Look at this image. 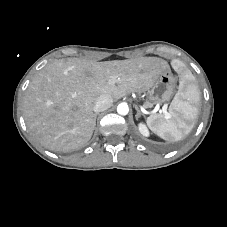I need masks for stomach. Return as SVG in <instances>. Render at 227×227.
<instances>
[{
  "instance_id": "obj_1",
  "label": "stomach",
  "mask_w": 227,
  "mask_h": 227,
  "mask_svg": "<svg viewBox=\"0 0 227 227\" xmlns=\"http://www.w3.org/2000/svg\"><path fill=\"white\" fill-rule=\"evenodd\" d=\"M176 78L172 75L171 71H165L154 82L151 90L149 91V100L152 103H165L169 102L175 94Z\"/></svg>"
}]
</instances>
